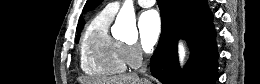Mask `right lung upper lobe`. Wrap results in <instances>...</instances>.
I'll use <instances>...</instances> for the list:
<instances>
[{
  "mask_svg": "<svg viewBox=\"0 0 260 84\" xmlns=\"http://www.w3.org/2000/svg\"><path fill=\"white\" fill-rule=\"evenodd\" d=\"M82 27H83V22H82V20H80V22H79V24H78L77 31L80 32L81 29H82Z\"/></svg>",
  "mask_w": 260,
  "mask_h": 84,
  "instance_id": "obj_1",
  "label": "right lung upper lobe"
}]
</instances>
